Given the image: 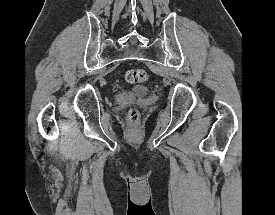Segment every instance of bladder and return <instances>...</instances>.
<instances>
[{
    "label": "bladder",
    "instance_id": "bladder-1",
    "mask_svg": "<svg viewBox=\"0 0 275 215\" xmlns=\"http://www.w3.org/2000/svg\"><path fill=\"white\" fill-rule=\"evenodd\" d=\"M134 93L136 95H146L148 93V89L146 87H135Z\"/></svg>",
    "mask_w": 275,
    "mask_h": 215
}]
</instances>
